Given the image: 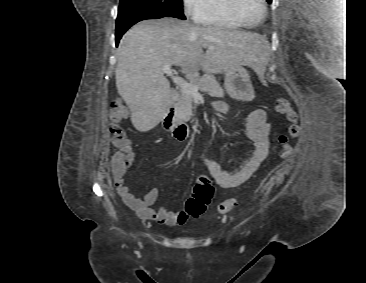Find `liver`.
Segmentation results:
<instances>
[{
    "label": "liver",
    "mask_w": 366,
    "mask_h": 283,
    "mask_svg": "<svg viewBox=\"0 0 366 283\" xmlns=\"http://www.w3.org/2000/svg\"><path fill=\"white\" fill-rule=\"evenodd\" d=\"M263 37L223 27H201L176 18L145 20L129 29L118 49L116 87L140 132L157 126L171 101L162 67L182 68L188 75L218 74L237 65L263 75ZM203 48H206L204 53Z\"/></svg>",
    "instance_id": "obj_1"
}]
</instances>
